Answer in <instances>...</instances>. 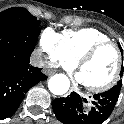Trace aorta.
Here are the masks:
<instances>
[{
  "label": "aorta",
  "instance_id": "1",
  "mask_svg": "<svg viewBox=\"0 0 124 124\" xmlns=\"http://www.w3.org/2000/svg\"><path fill=\"white\" fill-rule=\"evenodd\" d=\"M70 87V81L64 74H56L52 76L48 81V88L54 95L65 94Z\"/></svg>",
  "mask_w": 124,
  "mask_h": 124
}]
</instances>
